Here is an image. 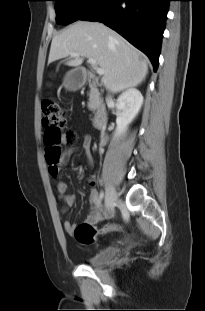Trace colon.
<instances>
[{"instance_id": "colon-1", "label": "colon", "mask_w": 205, "mask_h": 311, "mask_svg": "<svg viewBox=\"0 0 205 311\" xmlns=\"http://www.w3.org/2000/svg\"><path fill=\"white\" fill-rule=\"evenodd\" d=\"M42 125L44 128L45 157L50 167H57L61 158V145H71L75 141L73 131H65L66 115L62 107L54 100L42 101ZM118 226L107 224L97 229L90 223L83 222L75 226L73 237L81 244L94 242L98 232L106 233Z\"/></svg>"}]
</instances>
